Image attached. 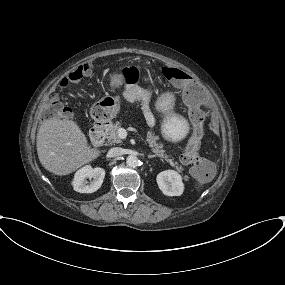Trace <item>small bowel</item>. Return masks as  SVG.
<instances>
[{"label":"small bowel","mask_w":285,"mask_h":285,"mask_svg":"<svg viewBox=\"0 0 285 285\" xmlns=\"http://www.w3.org/2000/svg\"><path fill=\"white\" fill-rule=\"evenodd\" d=\"M125 98L128 102L141 101L144 102L148 99V94L146 91L139 89L133 85H129L124 92ZM146 121L149 127L154 125V118L150 113L145 114ZM213 176V172L209 174L207 180H210Z\"/></svg>","instance_id":"c3829d8e"}]
</instances>
